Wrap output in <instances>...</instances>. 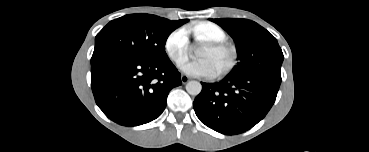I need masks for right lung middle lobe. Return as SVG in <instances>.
Listing matches in <instances>:
<instances>
[{"instance_id": "1", "label": "right lung middle lobe", "mask_w": 369, "mask_h": 152, "mask_svg": "<svg viewBox=\"0 0 369 152\" xmlns=\"http://www.w3.org/2000/svg\"><path fill=\"white\" fill-rule=\"evenodd\" d=\"M176 28L165 18L143 13L112 20L96 35L91 64L114 56L165 59L166 40Z\"/></svg>"}]
</instances>
